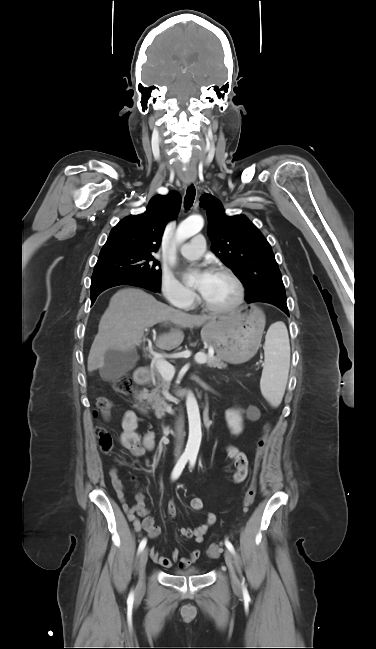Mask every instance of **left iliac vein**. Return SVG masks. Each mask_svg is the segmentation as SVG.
I'll return each mask as SVG.
<instances>
[{
    "mask_svg": "<svg viewBox=\"0 0 376 649\" xmlns=\"http://www.w3.org/2000/svg\"><path fill=\"white\" fill-rule=\"evenodd\" d=\"M224 557H225V562H226V565H227L229 573H230V578H231L232 585L236 590H240L241 584H240V581H239V579H238V577L236 575L235 569H234V560H233L232 553L229 550L226 549L225 552H224Z\"/></svg>",
    "mask_w": 376,
    "mask_h": 649,
    "instance_id": "4c4485c4",
    "label": "left iliac vein"
}]
</instances>
